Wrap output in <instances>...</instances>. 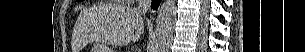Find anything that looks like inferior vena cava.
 <instances>
[{
	"label": "inferior vena cava",
	"mask_w": 305,
	"mask_h": 52,
	"mask_svg": "<svg viewBox=\"0 0 305 52\" xmlns=\"http://www.w3.org/2000/svg\"><path fill=\"white\" fill-rule=\"evenodd\" d=\"M151 0H139L137 10L140 13H145L150 9Z\"/></svg>",
	"instance_id": "602c4592"
}]
</instances>
